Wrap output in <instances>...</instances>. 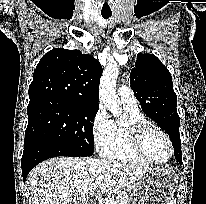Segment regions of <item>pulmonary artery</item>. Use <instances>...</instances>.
Instances as JSON below:
<instances>
[{"label": "pulmonary artery", "instance_id": "pulmonary-artery-1", "mask_svg": "<svg viewBox=\"0 0 206 204\" xmlns=\"http://www.w3.org/2000/svg\"><path fill=\"white\" fill-rule=\"evenodd\" d=\"M118 98L122 104L137 107V99L133 91L127 86H121L118 89Z\"/></svg>", "mask_w": 206, "mask_h": 204}]
</instances>
